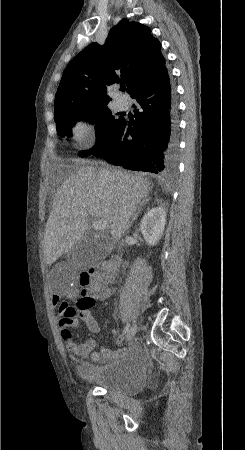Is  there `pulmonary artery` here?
Here are the masks:
<instances>
[{"label": "pulmonary artery", "mask_w": 245, "mask_h": 450, "mask_svg": "<svg viewBox=\"0 0 245 450\" xmlns=\"http://www.w3.org/2000/svg\"><path fill=\"white\" fill-rule=\"evenodd\" d=\"M126 101L125 100H121V99H119L118 100V106L120 107V108H123L125 105H126Z\"/></svg>", "instance_id": "1"}]
</instances>
